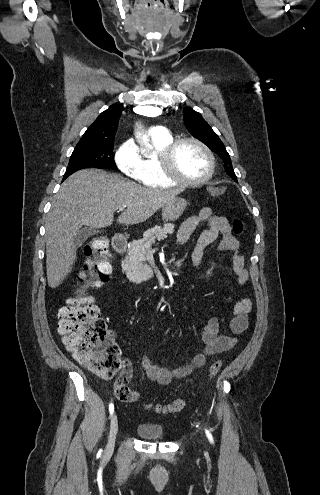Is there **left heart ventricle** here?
I'll return each instance as SVG.
<instances>
[{"mask_svg": "<svg viewBox=\"0 0 320 495\" xmlns=\"http://www.w3.org/2000/svg\"><path fill=\"white\" fill-rule=\"evenodd\" d=\"M178 173L186 179H199L209 170V161L205 153L193 143L182 144L175 155Z\"/></svg>", "mask_w": 320, "mask_h": 495, "instance_id": "1", "label": "left heart ventricle"}]
</instances>
